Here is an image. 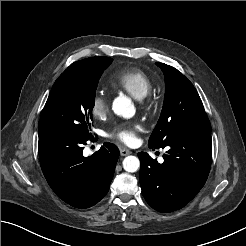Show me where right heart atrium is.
I'll use <instances>...</instances> for the list:
<instances>
[{
    "label": "right heart atrium",
    "mask_w": 246,
    "mask_h": 246,
    "mask_svg": "<svg viewBox=\"0 0 246 246\" xmlns=\"http://www.w3.org/2000/svg\"><path fill=\"white\" fill-rule=\"evenodd\" d=\"M109 110L110 102L108 97L101 92L95 94L90 107L92 116L96 119H104L107 116Z\"/></svg>",
    "instance_id": "d8ad5b80"
}]
</instances>
